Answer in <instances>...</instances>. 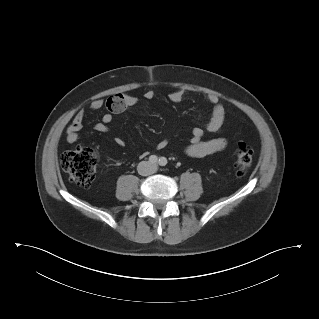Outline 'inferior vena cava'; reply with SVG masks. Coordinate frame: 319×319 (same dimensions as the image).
Wrapping results in <instances>:
<instances>
[{"instance_id": "1", "label": "inferior vena cava", "mask_w": 319, "mask_h": 319, "mask_svg": "<svg viewBox=\"0 0 319 319\" xmlns=\"http://www.w3.org/2000/svg\"><path fill=\"white\" fill-rule=\"evenodd\" d=\"M138 173L142 176H148L154 173V166L148 161H142L137 166Z\"/></svg>"}]
</instances>
